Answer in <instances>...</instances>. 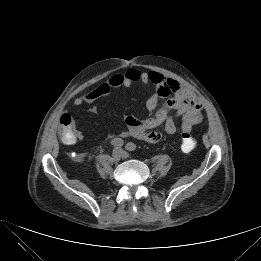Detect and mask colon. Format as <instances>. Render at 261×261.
Here are the masks:
<instances>
[{
	"label": "colon",
	"instance_id": "1",
	"mask_svg": "<svg viewBox=\"0 0 261 261\" xmlns=\"http://www.w3.org/2000/svg\"><path fill=\"white\" fill-rule=\"evenodd\" d=\"M61 137L64 143L71 144L76 138L75 122L73 118L64 113L60 118ZM196 147V140L189 132L181 135V148L184 152L189 153Z\"/></svg>",
	"mask_w": 261,
	"mask_h": 261
}]
</instances>
